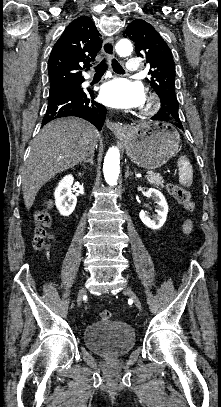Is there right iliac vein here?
<instances>
[{"label":"right iliac vein","instance_id":"right-iliac-vein-1","mask_svg":"<svg viewBox=\"0 0 221 407\" xmlns=\"http://www.w3.org/2000/svg\"><path fill=\"white\" fill-rule=\"evenodd\" d=\"M84 294H85V288L82 286V287L79 289L78 295H77V304H78V306L81 305V303H82V298H83Z\"/></svg>","mask_w":221,"mask_h":407}]
</instances>
